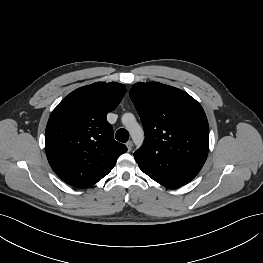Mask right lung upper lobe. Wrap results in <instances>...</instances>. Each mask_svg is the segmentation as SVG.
<instances>
[{
	"label": "right lung upper lobe",
	"instance_id": "cb5924a9",
	"mask_svg": "<svg viewBox=\"0 0 263 263\" xmlns=\"http://www.w3.org/2000/svg\"><path fill=\"white\" fill-rule=\"evenodd\" d=\"M125 93L123 84L97 82L68 94L51 113L45 151L53 170L67 184L94 185L127 151L125 145L114 140L106 120Z\"/></svg>",
	"mask_w": 263,
	"mask_h": 263
}]
</instances>
